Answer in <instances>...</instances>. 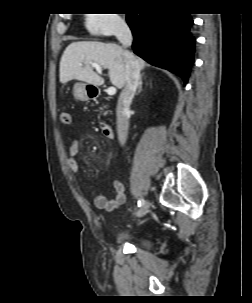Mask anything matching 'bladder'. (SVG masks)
Listing matches in <instances>:
<instances>
[{"mask_svg": "<svg viewBox=\"0 0 252 303\" xmlns=\"http://www.w3.org/2000/svg\"><path fill=\"white\" fill-rule=\"evenodd\" d=\"M116 237L121 241L135 244L145 250H151L153 246L148 238L136 235L132 232L118 231Z\"/></svg>", "mask_w": 252, "mask_h": 303, "instance_id": "1", "label": "bladder"}]
</instances>
